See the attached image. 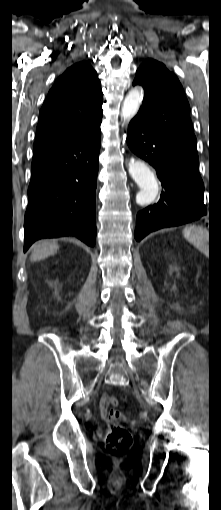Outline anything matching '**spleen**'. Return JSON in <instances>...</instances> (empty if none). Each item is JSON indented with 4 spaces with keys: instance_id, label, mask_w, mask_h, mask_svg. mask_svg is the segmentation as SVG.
I'll use <instances>...</instances> for the list:
<instances>
[{
    "instance_id": "3e777b00",
    "label": "spleen",
    "mask_w": 221,
    "mask_h": 510,
    "mask_svg": "<svg viewBox=\"0 0 221 510\" xmlns=\"http://www.w3.org/2000/svg\"><path fill=\"white\" fill-rule=\"evenodd\" d=\"M184 237L194 245L199 251L207 254L208 251V231L202 227L190 226L183 229Z\"/></svg>"
}]
</instances>
